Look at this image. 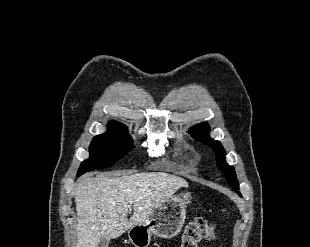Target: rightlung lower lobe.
<instances>
[{
  "label": "right lung lower lobe",
  "instance_id": "1",
  "mask_svg": "<svg viewBox=\"0 0 310 247\" xmlns=\"http://www.w3.org/2000/svg\"><path fill=\"white\" fill-rule=\"evenodd\" d=\"M80 175H81V174H79V173L77 174V176H80Z\"/></svg>",
  "mask_w": 310,
  "mask_h": 247
}]
</instances>
